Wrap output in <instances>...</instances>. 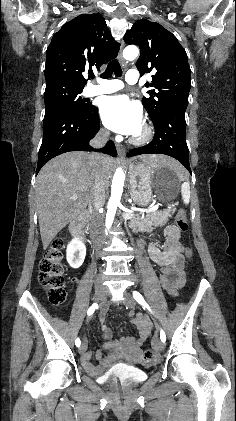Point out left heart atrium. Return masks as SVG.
<instances>
[{
  "label": "left heart atrium",
  "mask_w": 236,
  "mask_h": 421,
  "mask_svg": "<svg viewBox=\"0 0 236 421\" xmlns=\"http://www.w3.org/2000/svg\"><path fill=\"white\" fill-rule=\"evenodd\" d=\"M100 112L105 124L117 133L133 135L143 126L140 108L124 95L104 98L100 105Z\"/></svg>",
  "instance_id": "39dd6f15"
}]
</instances>
